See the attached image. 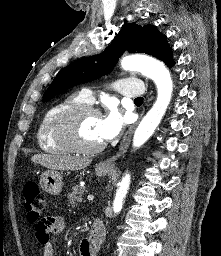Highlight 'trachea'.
Instances as JSON below:
<instances>
[{"label":"trachea","mask_w":221,"mask_h":256,"mask_svg":"<svg viewBox=\"0 0 221 256\" xmlns=\"http://www.w3.org/2000/svg\"><path fill=\"white\" fill-rule=\"evenodd\" d=\"M135 101H137V102H143V97H138V98L135 99Z\"/></svg>","instance_id":"obj_1"}]
</instances>
